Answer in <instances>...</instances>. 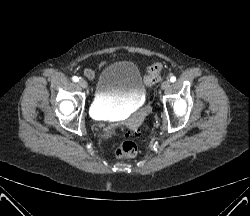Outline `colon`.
Returning a JSON list of instances; mask_svg holds the SVG:
<instances>
[{
  "instance_id": "obj_1",
  "label": "colon",
  "mask_w": 250,
  "mask_h": 216,
  "mask_svg": "<svg viewBox=\"0 0 250 216\" xmlns=\"http://www.w3.org/2000/svg\"><path fill=\"white\" fill-rule=\"evenodd\" d=\"M163 71V64L156 62L148 67L147 73L144 76V84L152 86L160 80L161 72ZM138 153V145L132 140H125L116 150V156L119 158H131Z\"/></svg>"
}]
</instances>
